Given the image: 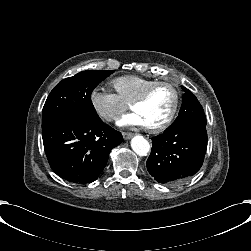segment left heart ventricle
Returning a JSON list of instances; mask_svg holds the SVG:
<instances>
[{
	"mask_svg": "<svg viewBox=\"0 0 251 251\" xmlns=\"http://www.w3.org/2000/svg\"><path fill=\"white\" fill-rule=\"evenodd\" d=\"M175 103V92L169 85L157 87L150 98L134 107L142 113L146 125L161 123L171 112Z\"/></svg>",
	"mask_w": 251,
	"mask_h": 251,
	"instance_id": "obj_1",
	"label": "left heart ventricle"
}]
</instances>
